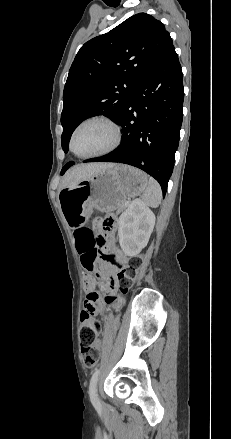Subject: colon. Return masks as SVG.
Returning <instances> with one entry per match:
<instances>
[{"label": "colon", "mask_w": 231, "mask_h": 439, "mask_svg": "<svg viewBox=\"0 0 231 439\" xmlns=\"http://www.w3.org/2000/svg\"><path fill=\"white\" fill-rule=\"evenodd\" d=\"M113 224V217L108 216L102 219L100 227L103 231H109L113 227ZM105 239L106 237L104 235H99L97 241H105ZM96 257L97 252L90 251L82 257L81 264L87 271L92 273L94 276L99 277L100 273L95 268ZM141 266V256H134L119 267V271L114 276V280L115 286L117 285L122 293H125L130 289ZM113 292L114 291L106 293L104 298L106 303L112 304L119 300V297L113 295ZM100 329L101 324L99 319L96 317L94 310L83 309L81 313L80 343L84 364L87 367H94L98 361L99 353L93 345L98 338Z\"/></svg>", "instance_id": "colon-1"}]
</instances>
